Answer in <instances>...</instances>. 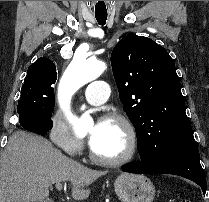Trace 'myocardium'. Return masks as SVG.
I'll return each mask as SVG.
<instances>
[{"mask_svg": "<svg viewBox=\"0 0 209 202\" xmlns=\"http://www.w3.org/2000/svg\"><path fill=\"white\" fill-rule=\"evenodd\" d=\"M103 121H112L119 123L126 131L128 136L129 146L124 155L118 158H106L98 155L92 145H89L90 158L101 165L118 167L132 161L138 152V136L131 121L122 114H107L103 117Z\"/></svg>", "mask_w": 209, "mask_h": 202, "instance_id": "1", "label": "myocardium"}]
</instances>
